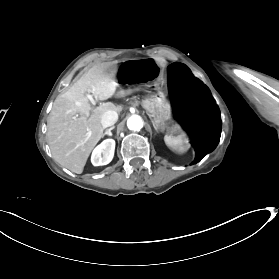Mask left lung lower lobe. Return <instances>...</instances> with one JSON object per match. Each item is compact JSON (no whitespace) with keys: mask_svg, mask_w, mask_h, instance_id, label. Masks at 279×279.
<instances>
[{"mask_svg":"<svg viewBox=\"0 0 279 279\" xmlns=\"http://www.w3.org/2000/svg\"><path fill=\"white\" fill-rule=\"evenodd\" d=\"M168 90L173 107L181 113L195 133V160L199 162L218 145L221 116L208 88L182 63L167 69Z\"/></svg>","mask_w":279,"mask_h":279,"instance_id":"left-lung-lower-lobe-1","label":"left lung lower lobe"}]
</instances>
